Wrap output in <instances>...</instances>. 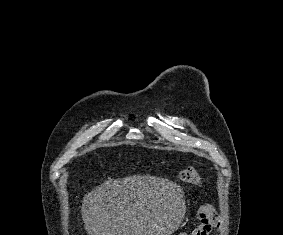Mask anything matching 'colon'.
<instances>
[{
    "label": "colon",
    "instance_id": "colon-1",
    "mask_svg": "<svg viewBox=\"0 0 283 235\" xmlns=\"http://www.w3.org/2000/svg\"><path fill=\"white\" fill-rule=\"evenodd\" d=\"M179 178L183 182L199 185L201 183V176L199 172L193 167L183 168L179 173Z\"/></svg>",
    "mask_w": 283,
    "mask_h": 235
}]
</instances>
